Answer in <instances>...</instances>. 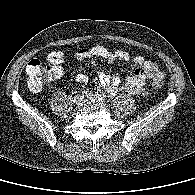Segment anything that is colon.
<instances>
[{"label": "colon", "mask_w": 195, "mask_h": 195, "mask_svg": "<svg viewBox=\"0 0 195 195\" xmlns=\"http://www.w3.org/2000/svg\"><path fill=\"white\" fill-rule=\"evenodd\" d=\"M26 73L29 88L33 91H38L49 80L60 77L62 69L58 65H45L41 61L34 59L29 62ZM163 84L164 76L154 79L152 83L154 88H161Z\"/></svg>", "instance_id": "obj_1"}]
</instances>
